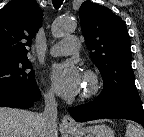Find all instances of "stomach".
Here are the masks:
<instances>
[{
  "label": "stomach",
  "mask_w": 144,
  "mask_h": 137,
  "mask_svg": "<svg viewBox=\"0 0 144 137\" xmlns=\"http://www.w3.org/2000/svg\"><path fill=\"white\" fill-rule=\"evenodd\" d=\"M73 137H115L113 130L104 124L84 127L69 132Z\"/></svg>",
  "instance_id": "0dacf381"
}]
</instances>
